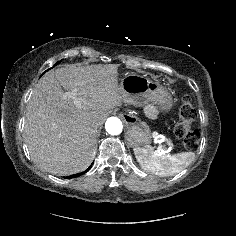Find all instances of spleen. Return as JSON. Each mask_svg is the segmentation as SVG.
I'll list each match as a JSON object with an SVG mask.
<instances>
[{
    "instance_id": "obj_1",
    "label": "spleen",
    "mask_w": 236,
    "mask_h": 236,
    "mask_svg": "<svg viewBox=\"0 0 236 236\" xmlns=\"http://www.w3.org/2000/svg\"><path fill=\"white\" fill-rule=\"evenodd\" d=\"M135 157L139 165L146 171L159 176H173L185 169L195 158L194 152L165 154L150 146L135 148Z\"/></svg>"
}]
</instances>
